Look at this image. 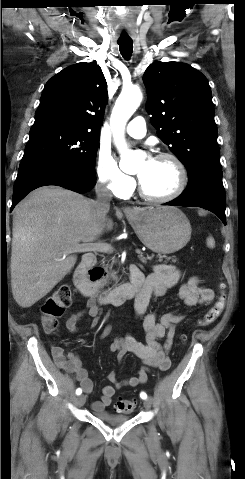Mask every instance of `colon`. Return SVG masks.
Instances as JSON below:
<instances>
[{
  "instance_id": "5ec220e1",
  "label": "colon",
  "mask_w": 245,
  "mask_h": 479,
  "mask_svg": "<svg viewBox=\"0 0 245 479\" xmlns=\"http://www.w3.org/2000/svg\"><path fill=\"white\" fill-rule=\"evenodd\" d=\"M227 295L222 291L217 299V301L212 305V307L197 320L196 325L199 327H207L213 324L222 314ZM72 296L71 290L68 285H61L56 289V291L49 296L43 303L42 311V327L43 330L48 333H54L57 331L59 326V319L62 317L64 312L71 306ZM186 336H182V340H185ZM135 401L128 399H120L116 402L115 408L117 412L120 413H131L135 409Z\"/></svg>"
}]
</instances>
